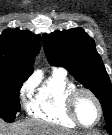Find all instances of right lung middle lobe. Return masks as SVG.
I'll return each instance as SVG.
<instances>
[{"label": "right lung middle lobe", "instance_id": "right-lung-middle-lobe-1", "mask_svg": "<svg viewBox=\"0 0 112 135\" xmlns=\"http://www.w3.org/2000/svg\"><path fill=\"white\" fill-rule=\"evenodd\" d=\"M28 78L23 74H11L0 76V117L7 122L15 119L16 113L20 112V88Z\"/></svg>", "mask_w": 112, "mask_h": 135}]
</instances>
